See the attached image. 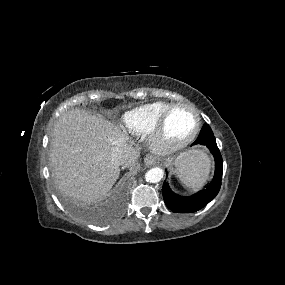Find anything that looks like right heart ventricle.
<instances>
[{
  "instance_id": "1",
  "label": "right heart ventricle",
  "mask_w": 285,
  "mask_h": 285,
  "mask_svg": "<svg viewBox=\"0 0 285 285\" xmlns=\"http://www.w3.org/2000/svg\"><path fill=\"white\" fill-rule=\"evenodd\" d=\"M172 105V103L164 101L140 105L125 112L121 117L120 125L126 132L134 136H147L163 113Z\"/></svg>"
}]
</instances>
